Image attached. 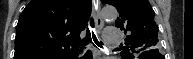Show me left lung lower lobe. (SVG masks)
<instances>
[{
  "instance_id": "obj_1",
  "label": "left lung lower lobe",
  "mask_w": 193,
  "mask_h": 59,
  "mask_svg": "<svg viewBox=\"0 0 193 59\" xmlns=\"http://www.w3.org/2000/svg\"><path fill=\"white\" fill-rule=\"evenodd\" d=\"M140 59H163L164 57L159 54L157 49L142 52L139 55Z\"/></svg>"
}]
</instances>
